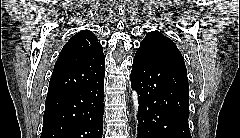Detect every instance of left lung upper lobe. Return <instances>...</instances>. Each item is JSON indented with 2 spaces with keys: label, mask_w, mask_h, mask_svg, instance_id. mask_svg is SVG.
<instances>
[{
  "label": "left lung upper lobe",
  "mask_w": 240,
  "mask_h": 138,
  "mask_svg": "<svg viewBox=\"0 0 240 138\" xmlns=\"http://www.w3.org/2000/svg\"><path fill=\"white\" fill-rule=\"evenodd\" d=\"M136 55L144 58H166L183 61L182 54L173 41L158 31L149 32L145 36Z\"/></svg>",
  "instance_id": "left-lung-upper-lobe-1"
}]
</instances>
